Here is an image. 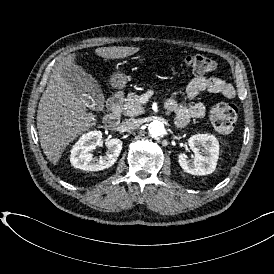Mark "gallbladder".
I'll return each instance as SVG.
<instances>
[{
  "label": "gallbladder",
  "mask_w": 274,
  "mask_h": 274,
  "mask_svg": "<svg viewBox=\"0 0 274 274\" xmlns=\"http://www.w3.org/2000/svg\"><path fill=\"white\" fill-rule=\"evenodd\" d=\"M66 85L74 89L79 102L90 110L99 111L104 108L106 99L92 75L85 73L76 64H69L63 70Z\"/></svg>",
  "instance_id": "bac80fb5"
}]
</instances>
